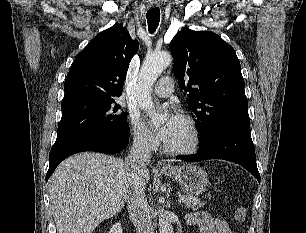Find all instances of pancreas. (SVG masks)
<instances>
[{"mask_svg":"<svg viewBox=\"0 0 306 233\" xmlns=\"http://www.w3.org/2000/svg\"><path fill=\"white\" fill-rule=\"evenodd\" d=\"M181 198L184 199V204L187 208L200 207L202 205L200 198H197L193 195L184 194L181 196Z\"/></svg>","mask_w":306,"mask_h":233,"instance_id":"1","label":"pancreas"}]
</instances>
